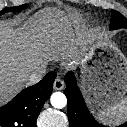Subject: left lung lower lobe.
I'll use <instances>...</instances> for the list:
<instances>
[{
	"label": "left lung lower lobe",
	"mask_w": 127,
	"mask_h": 127,
	"mask_svg": "<svg viewBox=\"0 0 127 127\" xmlns=\"http://www.w3.org/2000/svg\"><path fill=\"white\" fill-rule=\"evenodd\" d=\"M64 81L67 85L65 95L68 101L67 108L70 127H105L99 124L90 114L77 86L73 72H68L65 75ZM118 127H127V123Z\"/></svg>",
	"instance_id": "1"
}]
</instances>
